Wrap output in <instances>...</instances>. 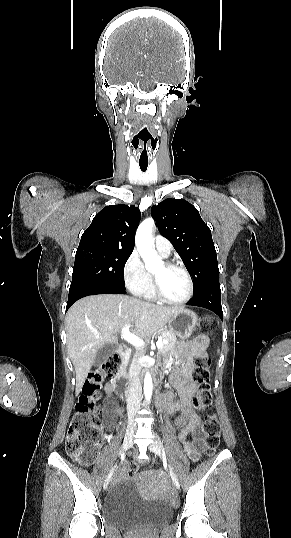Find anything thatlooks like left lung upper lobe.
I'll return each mask as SVG.
<instances>
[{
  "instance_id": "5c2ea615",
  "label": "left lung upper lobe",
  "mask_w": 291,
  "mask_h": 538,
  "mask_svg": "<svg viewBox=\"0 0 291 538\" xmlns=\"http://www.w3.org/2000/svg\"><path fill=\"white\" fill-rule=\"evenodd\" d=\"M160 233L182 258L194 281L193 296L219 282L217 254L209 227L198 210L184 199H165L152 206Z\"/></svg>"
}]
</instances>
